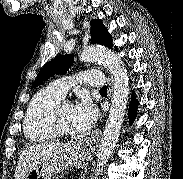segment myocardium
Returning a JSON list of instances; mask_svg holds the SVG:
<instances>
[{
  "instance_id": "1",
  "label": "myocardium",
  "mask_w": 183,
  "mask_h": 179,
  "mask_svg": "<svg viewBox=\"0 0 183 179\" xmlns=\"http://www.w3.org/2000/svg\"><path fill=\"white\" fill-rule=\"evenodd\" d=\"M70 104L71 102L65 99H60L57 103L54 104L50 111L49 115V126L51 131L55 136H60V137H67V136H72L74 135V132H69L63 130L58 123V116H59V111L63 105Z\"/></svg>"
}]
</instances>
